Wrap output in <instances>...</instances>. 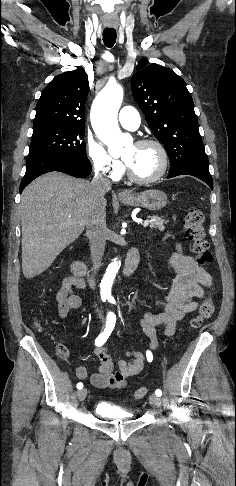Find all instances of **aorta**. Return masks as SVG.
Here are the masks:
<instances>
[{
	"label": "aorta",
	"instance_id": "762f6f07",
	"mask_svg": "<svg viewBox=\"0 0 236 486\" xmlns=\"http://www.w3.org/2000/svg\"><path fill=\"white\" fill-rule=\"evenodd\" d=\"M123 100V88L117 83H108L96 97L91 110L92 126L99 139L108 146L111 155L120 153L127 136L118 126L117 114ZM120 268L116 259L109 264L101 281V295L109 297Z\"/></svg>",
	"mask_w": 236,
	"mask_h": 486
}]
</instances>
